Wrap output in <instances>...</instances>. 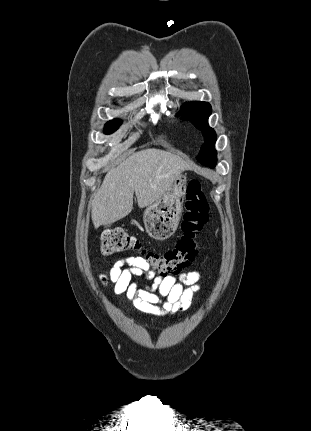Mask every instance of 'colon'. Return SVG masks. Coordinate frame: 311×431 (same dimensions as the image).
I'll return each instance as SVG.
<instances>
[{
    "label": "colon",
    "instance_id": "1",
    "mask_svg": "<svg viewBox=\"0 0 311 431\" xmlns=\"http://www.w3.org/2000/svg\"><path fill=\"white\" fill-rule=\"evenodd\" d=\"M209 206L202 184L197 179L188 182L185 195L184 214L181 223L182 235L176 245L164 252H155L124 229L106 230L101 236L100 251L112 255L128 250L139 251L149 263L150 270L160 277L181 273L198 255V235L208 220Z\"/></svg>",
    "mask_w": 311,
    "mask_h": 431
}]
</instances>
